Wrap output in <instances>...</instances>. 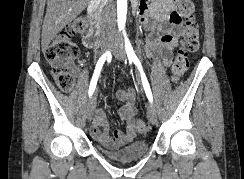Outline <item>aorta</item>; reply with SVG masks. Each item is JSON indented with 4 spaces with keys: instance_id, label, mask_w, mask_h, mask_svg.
<instances>
[{
    "instance_id": "1",
    "label": "aorta",
    "mask_w": 244,
    "mask_h": 179,
    "mask_svg": "<svg viewBox=\"0 0 244 179\" xmlns=\"http://www.w3.org/2000/svg\"><path fill=\"white\" fill-rule=\"evenodd\" d=\"M127 16V0H117V22L119 30H124Z\"/></svg>"
}]
</instances>
